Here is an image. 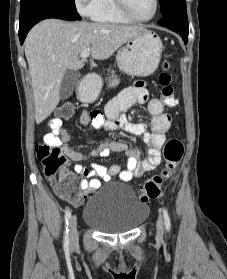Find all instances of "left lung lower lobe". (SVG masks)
Listing matches in <instances>:
<instances>
[{
  "mask_svg": "<svg viewBox=\"0 0 227 279\" xmlns=\"http://www.w3.org/2000/svg\"><path fill=\"white\" fill-rule=\"evenodd\" d=\"M158 24L169 28L170 30L178 33L182 36L185 43L188 42V18L187 11H177L171 12L167 15H164Z\"/></svg>",
  "mask_w": 227,
  "mask_h": 279,
  "instance_id": "0a47b994",
  "label": "left lung lower lobe"
}]
</instances>
